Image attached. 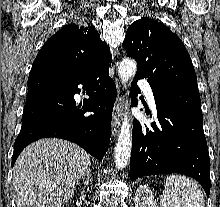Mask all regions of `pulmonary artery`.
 Masks as SVG:
<instances>
[{"label":"pulmonary artery","instance_id":"pulmonary-artery-1","mask_svg":"<svg viewBox=\"0 0 220 207\" xmlns=\"http://www.w3.org/2000/svg\"><path fill=\"white\" fill-rule=\"evenodd\" d=\"M138 85L144 91L145 96H146V98L148 100V103L151 106V108L155 109L156 108V104H155L153 92H152V89H151L149 83L146 80H140L138 82Z\"/></svg>","mask_w":220,"mask_h":207}]
</instances>
